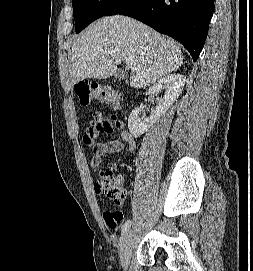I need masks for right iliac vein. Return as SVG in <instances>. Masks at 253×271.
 <instances>
[{
  "label": "right iliac vein",
  "instance_id": "63e3f726",
  "mask_svg": "<svg viewBox=\"0 0 253 271\" xmlns=\"http://www.w3.org/2000/svg\"><path fill=\"white\" fill-rule=\"evenodd\" d=\"M132 245H133L132 232L127 231L122 237L120 244V261L125 269L128 267L129 258L132 251Z\"/></svg>",
  "mask_w": 253,
  "mask_h": 271
}]
</instances>
